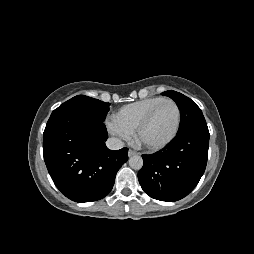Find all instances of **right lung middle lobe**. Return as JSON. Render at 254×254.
Instances as JSON below:
<instances>
[{
	"mask_svg": "<svg viewBox=\"0 0 254 254\" xmlns=\"http://www.w3.org/2000/svg\"><path fill=\"white\" fill-rule=\"evenodd\" d=\"M109 106L110 103H105L85 95H78L61 104L52 112L51 116L71 112L91 117L103 122L107 112L109 111Z\"/></svg>",
	"mask_w": 254,
	"mask_h": 254,
	"instance_id": "obj_1",
	"label": "right lung middle lobe"
}]
</instances>
